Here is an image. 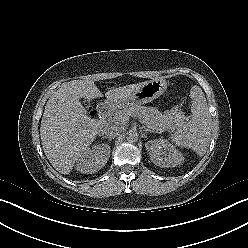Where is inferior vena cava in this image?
<instances>
[{
  "instance_id": "1",
  "label": "inferior vena cava",
  "mask_w": 248,
  "mask_h": 248,
  "mask_svg": "<svg viewBox=\"0 0 248 248\" xmlns=\"http://www.w3.org/2000/svg\"><path fill=\"white\" fill-rule=\"evenodd\" d=\"M123 131V127L116 125V124H112V125H108L104 128L103 133L111 138H115L118 135H120Z\"/></svg>"
}]
</instances>
